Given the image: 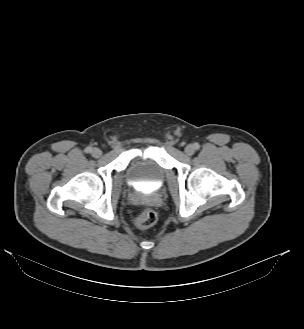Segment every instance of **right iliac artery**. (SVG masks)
I'll list each match as a JSON object with an SVG mask.
<instances>
[{
  "label": "right iliac artery",
  "instance_id": "right-iliac-artery-1",
  "mask_svg": "<svg viewBox=\"0 0 304 329\" xmlns=\"http://www.w3.org/2000/svg\"><path fill=\"white\" fill-rule=\"evenodd\" d=\"M92 151V148L91 147H87L86 149H85V152L86 153H90Z\"/></svg>",
  "mask_w": 304,
  "mask_h": 329
}]
</instances>
